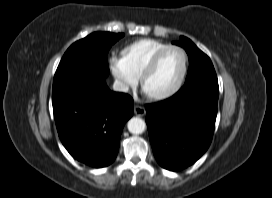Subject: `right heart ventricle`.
Instances as JSON below:
<instances>
[{"label": "right heart ventricle", "instance_id": "e07e8e85", "mask_svg": "<svg viewBox=\"0 0 272 198\" xmlns=\"http://www.w3.org/2000/svg\"><path fill=\"white\" fill-rule=\"evenodd\" d=\"M166 46L168 44L165 42L144 38L125 46L121 55L131 72L139 77L152 56Z\"/></svg>", "mask_w": 272, "mask_h": 198}]
</instances>
